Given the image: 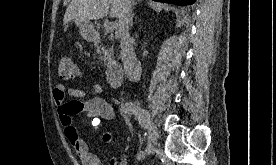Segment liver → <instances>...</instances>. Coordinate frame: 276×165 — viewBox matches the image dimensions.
Listing matches in <instances>:
<instances>
[{
    "label": "liver",
    "mask_w": 276,
    "mask_h": 165,
    "mask_svg": "<svg viewBox=\"0 0 276 165\" xmlns=\"http://www.w3.org/2000/svg\"><path fill=\"white\" fill-rule=\"evenodd\" d=\"M124 0H72L68 5L63 23L66 25L71 20H97L109 13L110 16L119 18Z\"/></svg>",
    "instance_id": "6515ba94"
}]
</instances>
